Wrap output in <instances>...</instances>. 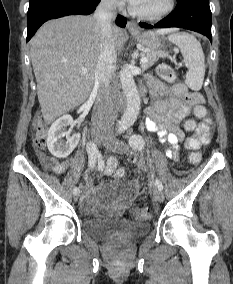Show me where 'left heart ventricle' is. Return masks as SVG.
<instances>
[{
	"label": "left heart ventricle",
	"instance_id": "left-heart-ventricle-1",
	"mask_svg": "<svg viewBox=\"0 0 233 284\" xmlns=\"http://www.w3.org/2000/svg\"><path fill=\"white\" fill-rule=\"evenodd\" d=\"M166 4L167 0H140L134 7L145 13H155L163 9Z\"/></svg>",
	"mask_w": 233,
	"mask_h": 284
}]
</instances>
